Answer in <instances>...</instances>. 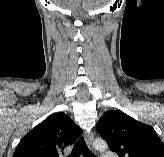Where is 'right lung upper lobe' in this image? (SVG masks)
Listing matches in <instances>:
<instances>
[{
  "label": "right lung upper lobe",
  "instance_id": "obj_1",
  "mask_svg": "<svg viewBox=\"0 0 164 157\" xmlns=\"http://www.w3.org/2000/svg\"><path fill=\"white\" fill-rule=\"evenodd\" d=\"M81 133L68 115L55 113L22 138L12 157H61Z\"/></svg>",
  "mask_w": 164,
  "mask_h": 157
}]
</instances>
